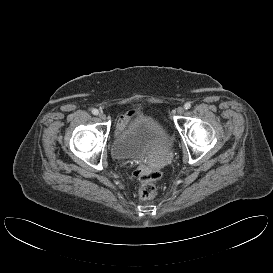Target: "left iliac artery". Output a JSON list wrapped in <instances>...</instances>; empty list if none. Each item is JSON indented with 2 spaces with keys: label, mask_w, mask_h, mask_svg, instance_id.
<instances>
[{
  "label": "left iliac artery",
  "mask_w": 273,
  "mask_h": 273,
  "mask_svg": "<svg viewBox=\"0 0 273 273\" xmlns=\"http://www.w3.org/2000/svg\"><path fill=\"white\" fill-rule=\"evenodd\" d=\"M190 107H191V104L189 102L185 103V105H184L185 109H190Z\"/></svg>",
  "instance_id": "1"
}]
</instances>
